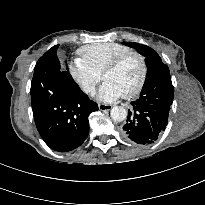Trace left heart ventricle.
<instances>
[{
    "label": "left heart ventricle",
    "mask_w": 205,
    "mask_h": 205,
    "mask_svg": "<svg viewBox=\"0 0 205 205\" xmlns=\"http://www.w3.org/2000/svg\"><path fill=\"white\" fill-rule=\"evenodd\" d=\"M140 76V64L137 58L130 57L125 60L117 69L108 72L104 80L116 85L123 94L132 90Z\"/></svg>",
    "instance_id": "b2bd125f"
}]
</instances>
